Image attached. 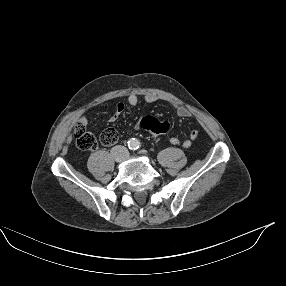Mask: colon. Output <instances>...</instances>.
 Instances as JSON below:
<instances>
[{
    "label": "colon",
    "mask_w": 286,
    "mask_h": 286,
    "mask_svg": "<svg viewBox=\"0 0 286 286\" xmlns=\"http://www.w3.org/2000/svg\"><path fill=\"white\" fill-rule=\"evenodd\" d=\"M143 128L156 138H161L164 136H169V121L161 117H147L143 122ZM73 139L75 140L76 145L82 150H94L98 142L104 146H110L117 142L118 132L114 128H108L104 130L99 136H96L94 133L88 131L85 126L78 122L74 126Z\"/></svg>",
    "instance_id": "obj_1"
}]
</instances>
